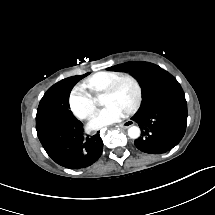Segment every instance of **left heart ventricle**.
Segmentation results:
<instances>
[{
	"label": "left heart ventricle",
	"instance_id": "obj_1",
	"mask_svg": "<svg viewBox=\"0 0 215 215\" xmlns=\"http://www.w3.org/2000/svg\"><path fill=\"white\" fill-rule=\"evenodd\" d=\"M130 99V88L126 84H121L117 87L114 93L110 96V101L114 105H125Z\"/></svg>",
	"mask_w": 215,
	"mask_h": 215
}]
</instances>
